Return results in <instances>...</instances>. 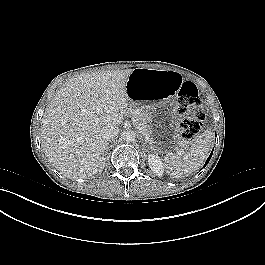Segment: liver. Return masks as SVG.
<instances>
[{
  "instance_id": "obj_1",
  "label": "liver",
  "mask_w": 265,
  "mask_h": 265,
  "mask_svg": "<svg viewBox=\"0 0 265 265\" xmlns=\"http://www.w3.org/2000/svg\"><path fill=\"white\" fill-rule=\"evenodd\" d=\"M133 70L91 72L67 81L48 104L41 122L42 148L65 177L87 178L105 166L101 130L118 126L127 107Z\"/></svg>"
}]
</instances>
